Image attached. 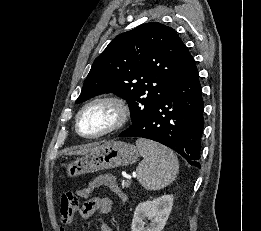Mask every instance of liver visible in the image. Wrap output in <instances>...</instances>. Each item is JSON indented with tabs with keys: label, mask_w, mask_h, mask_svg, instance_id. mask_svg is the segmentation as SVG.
<instances>
[{
	"label": "liver",
	"mask_w": 261,
	"mask_h": 231,
	"mask_svg": "<svg viewBox=\"0 0 261 231\" xmlns=\"http://www.w3.org/2000/svg\"><path fill=\"white\" fill-rule=\"evenodd\" d=\"M109 144V142L100 145L99 143H92L85 146H80L76 148L75 150H71L68 152V155H86L91 152H95L101 148H103L105 145Z\"/></svg>",
	"instance_id": "obj_1"
}]
</instances>
